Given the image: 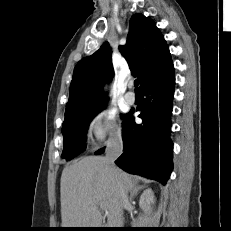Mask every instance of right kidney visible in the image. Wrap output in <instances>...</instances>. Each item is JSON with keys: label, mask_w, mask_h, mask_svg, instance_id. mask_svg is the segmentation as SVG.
I'll return each mask as SVG.
<instances>
[{"label": "right kidney", "mask_w": 231, "mask_h": 231, "mask_svg": "<svg viewBox=\"0 0 231 231\" xmlns=\"http://www.w3.org/2000/svg\"><path fill=\"white\" fill-rule=\"evenodd\" d=\"M153 203L154 194L151 189H146L140 196L139 205L145 212H149Z\"/></svg>", "instance_id": "right-kidney-1"}]
</instances>
